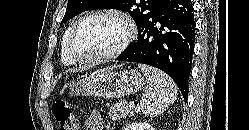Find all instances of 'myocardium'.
Wrapping results in <instances>:
<instances>
[{
  "mask_svg": "<svg viewBox=\"0 0 249 130\" xmlns=\"http://www.w3.org/2000/svg\"><path fill=\"white\" fill-rule=\"evenodd\" d=\"M98 16L116 18L121 20L126 26V35L124 39L114 50L108 53L97 56H91V57H81L76 55L73 52L72 43L78 27L85 20ZM136 33H137L136 26L133 20L127 14L117 10H93L82 15L71 27L66 41V53L73 62H78V63H98V62L111 60L121 55L128 48L130 43L136 37Z\"/></svg>",
  "mask_w": 249,
  "mask_h": 130,
  "instance_id": "obj_1",
  "label": "myocardium"
}]
</instances>
